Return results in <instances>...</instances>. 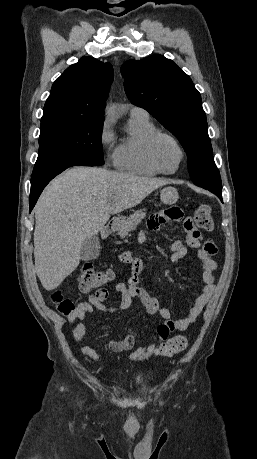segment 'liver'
Returning a JSON list of instances; mask_svg holds the SVG:
<instances>
[{
    "instance_id": "obj_1",
    "label": "liver",
    "mask_w": 257,
    "mask_h": 459,
    "mask_svg": "<svg viewBox=\"0 0 257 459\" xmlns=\"http://www.w3.org/2000/svg\"><path fill=\"white\" fill-rule=\"evenodd\" d=\"M168 180L97 167L67 170L45 188L35 209V271L42 286L57 288L79 265L84 241L111 214L141 203Z\"/></svg>"
}]
</instances>
